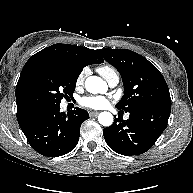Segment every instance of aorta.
<instances>
[{"label":"aorta","instance_id":"762f6f07","mask_svg":"<svg viewBox=\"0 0 193 193\" xmlns=\"http://www.w3.org/2000/svg\"><path fill=\"white\" fill-rule=\"evenodd\" d=\"M85 88L92 94L105 93L107 90L106 82L97 76H89L85 80ZM101 125L108 127L113 123V115L110 112H101L98 116Z\"/></svg>","mask_w":193,"mask_h":193}]
</instances>
